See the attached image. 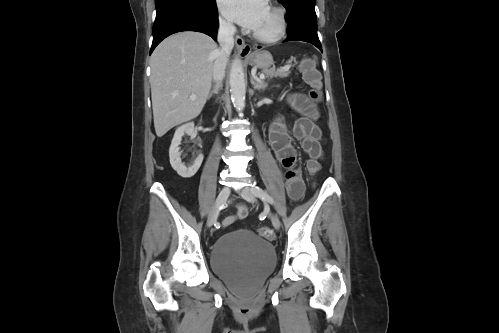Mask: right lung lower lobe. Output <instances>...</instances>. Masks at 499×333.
<instances>
[{
  "instance_id": "right-lung-lower-lobe-1",
  "label": "right lung lower lobe",
  "mask_w": 499,
  "mask_h": 333,
  "mask_svg": "<svg viewBox=\"0 0 499 333\" xmlns=\"http://www.w3.org/2000/svg\"><path fill=\"white\" fill-rule=\"evenodd\" d=\"M181 31L202 32L216 40L218 31L216 2L205 9L171 6L157 11L150 53L164 38Z\"/></svg>"
}]
</instances>
